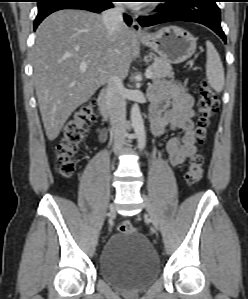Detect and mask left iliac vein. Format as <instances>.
<instances>
[{"label":"left iliac vein","mask_w":248,"mask_h":299,"mask_svg":"<svg viewBox=\"0 0 248 299\" xmlns=\"http://www.w3.org/2000/svg\"><path fill=\"white\" fill-rule=\"evenodd\" d=\"M142 198H143V206L146 209V212L149 215L154 228L156 230H158L159 229V219H158V216H157V214H156V212H155L152 204L150 203L149 199L145 195H143V194H142Z\"/></svg>","instance_id":"left-iliac-vein-1"}]
</instances>
